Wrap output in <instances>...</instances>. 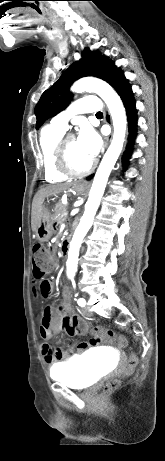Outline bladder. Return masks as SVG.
Here are the masks:
<instances>
[{
    "label": "bladder",
    "mask_w": 165,
    "mask_h": 461,
    "mask_svg": "<svg viewBox=\"0 0 165 461\" xmlns=\"http://www.w3.org/2000/svg\"><path fill=\"white\" fill-rule=\"evenodd\" d=\"M108 367L99 354L86 353L51 368V377L73 389H86L106 374Z\"/></svg>",
    "instance_id": "1"
}]
</instances>
